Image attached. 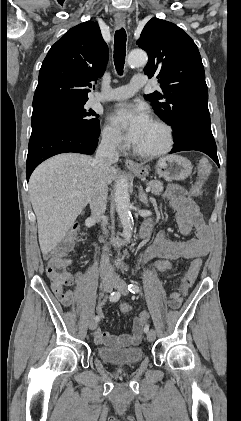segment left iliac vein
Instances as JSON below:
<instances>
[{"instance_id":"4c4485c4","label":"left iliac vein","mask_w":241,"mask_h":421,"mask_svg":"<svg viewBox=\"0 0 241 421\" xmlns=\"http://www.w3.org/2000/svg\"><path fill=\"white\" fill-rule=\"evenodd\" d=\"M114 288L123 295L128 293L127 283L120 277H115L113 280ZM156 338V332L154 329H151L147 334V339L149 342H153Z\"/></svg>"}]
</instances>
